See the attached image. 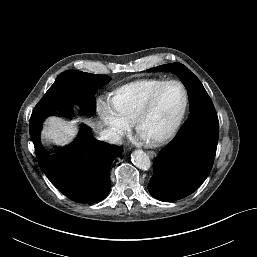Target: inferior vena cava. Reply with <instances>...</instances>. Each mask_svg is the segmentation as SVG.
Returning a JSON list of instances; mask_svg holds the SVG:
<instances>
[{"label": "inferior vena cava", "instance_id": "inferior-vena-cava-1", "mask_svg": "<svg viewBox=\"0 0 257 257\" xmlns=\"http://www.w3.org/2000/svg\"><path fill=\"white\" fill-rule=\"evenodd\" d=\"M121 133L120 132H113L111 133V138L114 140V142H120L121 140Z\"/></svg>", "mask_w": 257, "mask_h": 257}]
</instances>
